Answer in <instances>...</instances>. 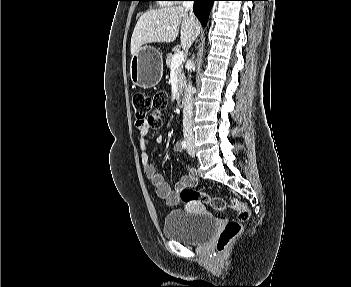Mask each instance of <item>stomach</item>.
<instances>
[{"label":"stomach","instance_id":"0dacf381","mask_svg":"<svg viewBox=\"0 0 351 287\" xmlns=\"http://www.w3.org/2000/svg\"><path fill=\"white\" fill-rule=\"evenodd\" d=\"M132 82L144 89L156 86L163 75V58L159 50L144 46L130 61Z\"/></svg>","mask_w":351,"mask_h":287}]
</instances>
